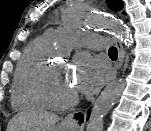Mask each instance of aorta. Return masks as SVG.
I'll use <instances>...</instances> for the list:
<instances>
[{
    "label": "aorta",
    "mask_w": 151,
    "mask_h": 131,
    "mask_svg": "<svg viewBox=\"0 0 151 131\" xmlns=\"http://www.w3.org/2000/svg\"><path fill=\"white\" fill-rule=\"evenodd\" d=\"M71 17L72 13L68 12L65 15V21H70ZM81 24L92 28L108 30L118 34L124 40L125 44L129 45L130 39L127 29L121 22L114 18L92 15L88 16L84 21L81 22ZM124 88L125 83L121 80L110 83L105 87L94 103L89 122L87 124V131H103L104 117L120 98Z\"/></svg>",
    "instance_id": "762f6f07"
}]
</instances>
